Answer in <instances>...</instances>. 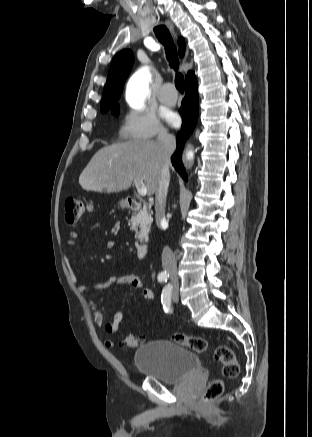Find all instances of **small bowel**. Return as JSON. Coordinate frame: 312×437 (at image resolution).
<instances>
[{"mask_svg": "<svg viewBox=\"0 0 312 437\" xmlns=\"http://www.w3.org/2000/svg\"><path fill=\"white\" fill-rule=\"evenodd\" d=\"M79 236L80 234L78 232L76 231L71 232L69 235V240L66 242V248L75 247L76 240ZM105 244L108 249L114 248V243L112 241H106ZM122 285H126L135 290H139L142 296L148 301L154 299L153 291L149 287H145L141 277L136 274H128L119 277H110L107 280L100 283H96L92 286L79 285L78 290L83 294H87L94 291L104 290L112 286H122ZM88 304L89 307L91 308L93 319L97 326L103 327L105 332L108 334H115L119 331L120 324L123 320V313L121 311H117L113 315L112 319L106 322L104 315L99 310L96 302L89 298ZM104 344L108 348H112L115 346V343L111 340H105Z\"/></svg>", "mask_w": 312, "mask_h": 437, "instance_id": "small-bowel-1", "label": "small bowel"}]
</instances>
